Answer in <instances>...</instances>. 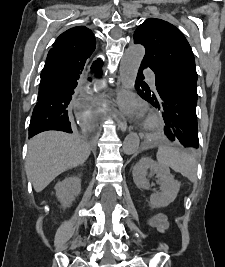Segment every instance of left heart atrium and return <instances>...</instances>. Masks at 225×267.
Listing matches in <instances>:
<instances>
[{
    "label": "left heart atrium",
    "mask_w": 225,
    "mask_h": 267,
    "mask_svg": "<svg viewBox=\"0 0 225 267\" xmlns=\"http://www.w3.org/2000/svg\"><path fill=\"white\" fill-rule=\"evenodd\" d=\"M119 103L128 113L137 117L142 115V106L138 104L130 95H121L119 98Z\"/></svg>",
    "instance_id": "left-heart-atrium-1"
}]
</instances>
